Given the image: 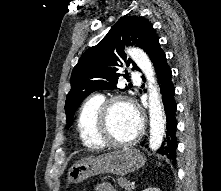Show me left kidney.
I'll list each match as a JSON object with an SVG mask.
<instances>
[{
  "mask_svg": "<svg viewBox=\"0 0 221 191\" xmlns=\"http://www.w3.org/2000/svg\"><path fill=\"white\" fill-rule=\"evenodd\" d=\"M143 191H160V189H158V188H147Z\"/></svg>",
  "mask_w": 221,
  "mask_h": 191,
  "instance_id": "5707ae66",
  "label": "left kidney"
}]
</instances>
